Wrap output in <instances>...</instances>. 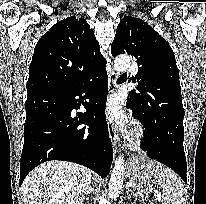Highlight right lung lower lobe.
<instances>
[{"instance_id":"obj_1","label":"right lung lower lobe","mask_w":206,"mask_h":204,"mask_svg":"<svg viewBox=\"0 0 206 204\" xmlns=\"http://www.w3.org/2000/svg\"><path fill=\"white\" fill-rule=\"evenodd\" d=\"M107 92L103 67L75 87L28 94L20 185L33 168L49 160L75 162L101 177L109 174L113 150L105 116ZM81 105L87 112L75 116L72 110Z\"/></svg>"}]
</instances>
